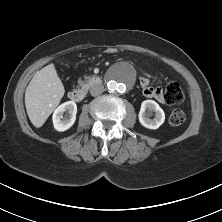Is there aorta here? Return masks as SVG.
I'll use <instances>...</instances> for the list:
<instances>
[{"instance_id":"762f6f07","label":"aorta","mask_w":222,"mask_h":222,"mask_svg":"<svg viewBox=\"0 0 222 222\" xmlns=\"http://www.w3.org/2000/svg\"><path fill=\"white\" fill-rule=\"evenodd\" d=\"M134 83V75L127 66L114 69L107 77V88L112 94L127 91Z\"/></svg>"}]
</instances>
